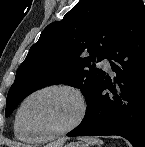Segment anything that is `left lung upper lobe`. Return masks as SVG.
<instances>
[{"mask_svg": "<svg viewBox=\"0 0 145 147\" xmlns=\"http://www.w3.org/2000/svg\"><path fill=\"white\" fill-rule=\"evenodd\" d=\"M130 2L80 0L63 20L49 24L17 70L5 116L32 92L53 84L81 89L88 105L105 75L96 63L107 58Z\"/></svg>", "mask_w": 145, "mask_h": 147, "instance_id": "obj_1", "label": "left lung upper lobe"}]
</instances>
